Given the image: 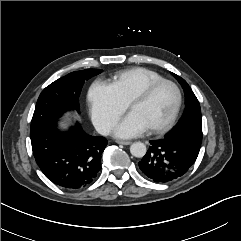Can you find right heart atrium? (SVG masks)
<instances>
[{
	"label": "right heart atrium",
	"instance_id": "obj_1",
	"mask_svg": "<svg viewBox=\"0 0 241 241\" xmlns=\"http://www.w3.org/2000/svg\"><path fill=\"white\" fill-rule=\"evenodd\" d=\"M91 118L102 134H107L126 111L128 104L121 99L112 84L97 80L89 88Z\"/></svg>",
	"mask_w": 241,
	"mask_h": 241
}]
</instances>
